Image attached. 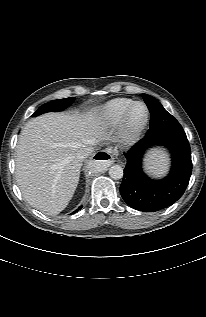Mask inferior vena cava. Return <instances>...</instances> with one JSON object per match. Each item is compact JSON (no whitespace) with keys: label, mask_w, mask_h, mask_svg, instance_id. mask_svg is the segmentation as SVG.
<instances>
[{"label":"inferior vena cava","mask_w":206,"mask_h":317,"mask_svg":"<svg viewBox=\"0 0 206 317\" xmlns=\"http://www.w3.org/2000/svg\"><path fill=\"white\" fill-rule=\"evenodd\" d=\"M93 152V147L91 146H84L83 148L79 149L77 153V158L83 160L84 158L88 157Z\"/></svg>","instance_id":"1"}]
</instances>
